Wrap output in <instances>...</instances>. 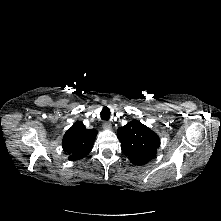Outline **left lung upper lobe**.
I'll return each mask as SVG.
<instances>
[{"label":"left lung upper lobe","instance_id":"1","mask_svg":"<svg viewBox=\"0 0 221 221\" xmlns=\"http://www.w3.org/2000/svg\"><path fill=\"white\" fill-rule=\"evenodd\" d=\"M117 137L124 154L137 165H143L152 160L160 143L157 134L137 120L119 127Z\"/></svg>","mask_w":221,"mask_h":221}]
</instances>
